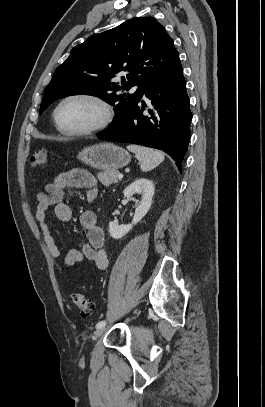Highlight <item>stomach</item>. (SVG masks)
<instances>
[{
    "label": "stomach",
    "instance_id": "0dacf381",
    "mask_svg": "<svg viewBox=\"0 0 265 407\" xmlns=\"http://www.w3.org/2000/svg\"><path fill=\"white\" fill-rule=\"evenodd\" d=\"M78 159L97 170L111 171L125 167L130 162V154L112 143H100L84 148Z\"/></svg>",
    "mask_w": 265,
    "mask_h": 407
}]
</instances>
